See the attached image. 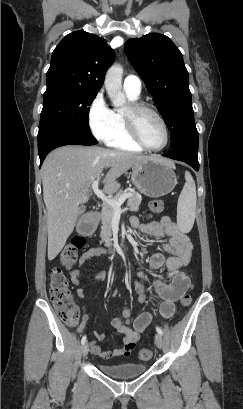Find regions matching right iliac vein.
I'll return each mask as SVG.
<instances>
[{
	"label": "right iliac vein",
	"mask_w": 243,
	"mask_h": 409,
	"mask_svg": "<svg viewBox=\"0 0 243 409\" xmlns=\"http://www.w3.org/2000/svg\"><path fill=\"white\" fill-rule=\"evenodd\" d=\"M89 352V344L85 343L82 347V354L84 357H86L88 355Z\"/></svg>",
	"instance_id": "63e3f726"
}]
</instances>
